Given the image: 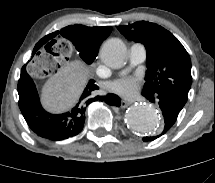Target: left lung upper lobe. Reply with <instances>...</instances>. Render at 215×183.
<instances>
[{
    "instance_id": "1",
    "label": "left lung upper lobe",
    "mask_w": 215,
    "mask_h": 183,
    "mask_svg": "<svg viewBox=\"0 0 215 183\" xmlns=\"http://www.w3.org/2000/svg\"><path fill=\"white\" fill-rule=\"evenodd\" d=\"M117 29L128 40L140 42L146 48L147 71L142 93H168L186 103L192 76L191 60L183 45L163 27L146 21Z\"/></svg>"
}]
</instances>
